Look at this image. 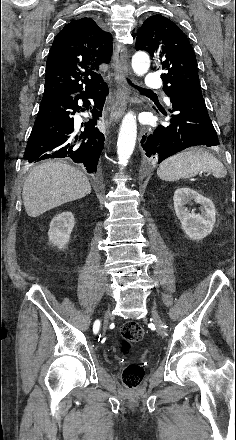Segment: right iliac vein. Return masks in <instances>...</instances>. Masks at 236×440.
Listing matches in <instances>:
<instances>
[{"label":"right iliac vein","instance_id":"obj_1","mask_svg":"<svg viewBox=\"0 0 236 440\" xmlns=\"http://www.w3.org/2000/svg\"><path fill=\"white\" fill-rule=\"evenodd\" d=\"M109 318H110V311H107V313L105 315V329H106V327L108 325Z\"/></svg>","mask_w":236,"mask_h":440}]
</instances>
